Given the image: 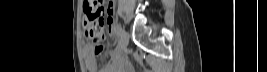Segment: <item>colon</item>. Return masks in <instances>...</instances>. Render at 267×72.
<instances>
[{"instance_id":"obj_1","label":"colon","mask_w":267,"mask_h":72,"mask_svg":"<svg viewBox=\"0 0 267 72\" xmlns=\"http://www.w3.org/2000/svg\"><path fill=\"white\" fill-rule=\"evenodd\" d=\"M104 7L101 1L85 0L83 6V22L85 36L90 39L94 46V51L100 54L103 49L105 34L103 29Z\"/></svg>"}]
</instances>
